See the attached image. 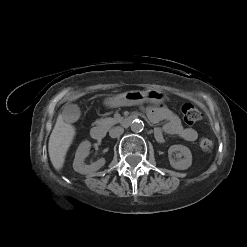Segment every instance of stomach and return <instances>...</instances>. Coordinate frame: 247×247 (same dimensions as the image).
<instances>
[{
	"mask_svg": "<svg viewBox=\"0 0 247 247\" xmlns=\"http://www.w3.org/2000/svg\"><path fill=\"white\" fill-rule=\"evenodd\" d=\"M167 98L166 94L158 90L129 91L112 96L106 100L109 107L132 106L143 103L160 104Z\"/></svg>",
	"mask_w": 247,
	"mask_h": 247,
	"instance_id": "stomach-1",
	"label": "stomach"
}]
</instances>
